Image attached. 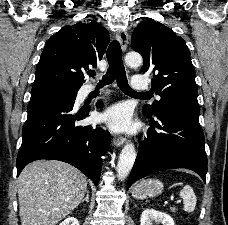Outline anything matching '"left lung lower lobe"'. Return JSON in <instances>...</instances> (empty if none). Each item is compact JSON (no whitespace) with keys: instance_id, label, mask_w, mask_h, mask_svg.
Wrapping results in <instances>:
<instances>
[{"instance_id":"0a47b994","label":"left lung lower lobe","mask_w":228,"mask_h":225,"mask_svg":"<svg viewBox=\"0 0 228 225\" xmlns=\"http://www.w3.org/2000/svg\"><path fill=\"white\" fill-rule=\"evenodd\" d=\"M155 116L160 124L151 115H147L151 127L148 129L147 139L139 146L127 189L149 174L172 168L195 171L206 182L207 157L199 113L163 108ZM154 125L159 130H155Z\"/></svg>"}]
</instances>
